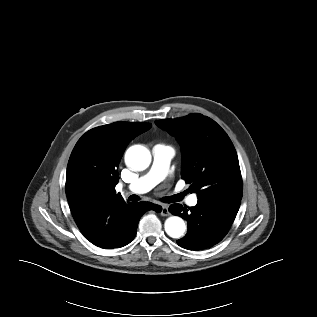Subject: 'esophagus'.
<instances>
[{"mask_svg":"<svg viewBox=\"0 0 317 317\" xmlns=\"http://www.w3.org/2000/svg\"><path fill=\"white\" fill-rule=\"evenodd\" d=\"M162 216H169L170 213H169V210H168V207L166 205H163L162 206V209H161V213H160Z\"/></svg>","mask_w":317,"mask_h":317,"instance_id":"esophagus-1","label":"esophagus"}]
</instances>
